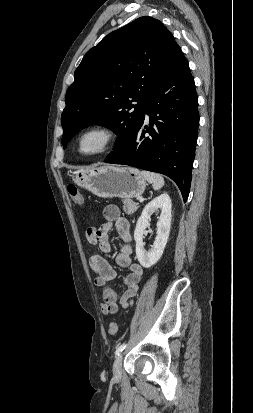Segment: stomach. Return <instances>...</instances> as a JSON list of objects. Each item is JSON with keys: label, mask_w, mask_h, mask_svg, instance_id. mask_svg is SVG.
I'll return each mask as SVG.
<instances>
[{"label": "stomach", "mask_w": 253, "mask_h": 413, "mask_svg": "<svg viewBox=\"0 0 253 413\" xmlns=\"http://www.w3.org/2000/svg\"><path fill=\"white\" fill-rule=\"evenodd\" d=\"M72 180L100 198L130 199L140 196L146 188L141 172L127 166H102L72 173Z\"/></svg>", "instance_id": "obj_1"}]
</instances>
